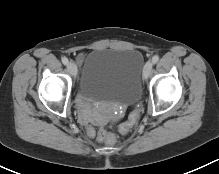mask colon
<instances>
[{"label": "colon", "instance_id": "obj_1", "mask_svg": "<svg viewBox=\"0 0 219 174\" xmlns=\"http://www.w3.org/2000/svg\"><path fill=\"white\" fill-rule=\"evenodd\" d=\"M139 118V111L135 109L129 116L128 120L124 122L119 130L121 134H127L131 128L135 125ZM87 134L90 137H96L99 141L106 142L110 145L115 143L116 137L112 132L107 131L104 128L95 129L93 127L87 128Z\"/></svg>", "mask_w": 219, "mask_h": 174}]
</instances>
